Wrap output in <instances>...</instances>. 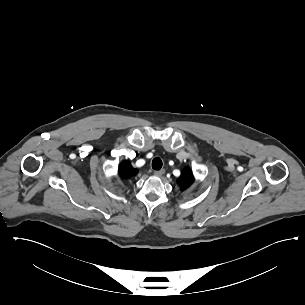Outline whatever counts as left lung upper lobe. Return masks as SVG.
I'll list each match as a JSON object with an SVG mask.
<instances>
[{
    "label": "left lung upper lobe",
    "mask_w": 305,
    "mask_h": 305,
    "mask_svg": "<svg viewBox=\"0 0 305 305\" xmlns=\"http://www.w3.org/2000/svg\"><path fill=\"white\" fill-rule=\"evenodd\" d=\"M194 177L191 169L186 167L183 169L180 178L178 179V184L182 190L187 189L193 183Z\"/></svg>",
    "instance_id": "obj_1"
}]
</instances>
